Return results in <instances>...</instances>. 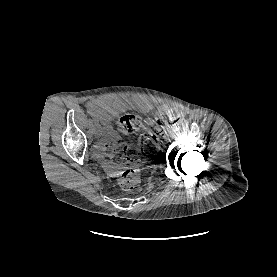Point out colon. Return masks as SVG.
Instances as JSON below:
<instances>
[{
  "mask_svg": "<svg viewBox=\"0 0 277 277\" xmlns=\"http://www.w3.org/2000/svg\"><path fill=\"white\" fill-rule=\"evenodd\" d=\"M178 121V111L164 114L153 123L148 132L142 135L139 148L133 145L109 143L103 147V156L108 162L115 165H137L142 158L150 157L158 152L160 137ZM141 127V118L135 114H125L117 121V129L122 134L134 133ZM117 182L123 190H133L140 182L139 172L135 168H128L118 176Z\"/></svg>",
  "mask_w": 277,
  "mask_h": 277,
  "instance_id": "5ec220e1",
  "label": "colon"
}]
</instances>
